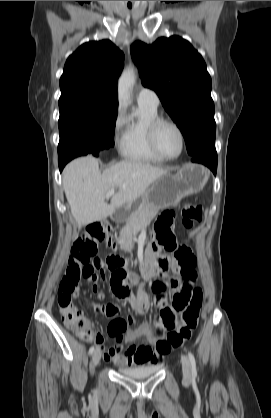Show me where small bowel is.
Instances as JSON below:
<instances>
[{
  "mask_svg": "<svg viewBox=\"0 0 271 418\" xmlns=\"http://www.w3.org/2000/svg\"><path fill=\"white\" fill-rule=\"evenodd\" d=\"M168 259V260H167ZM146 267L144 276L147 280L157 277H167L171 269L179 273L178 262L174 258H165L160 256L159 247L153 242L145 252ZM97 267L103 269V266L97 262ZM110 287L113 295L122 301L128 302L132 309L139 313L145 314L149 311L150 301L141 288L137 295H134L131 286L136 282L134 276L130 275V271L125 266H116L110 272ZM93 283V293L98 299H103L104 294L98 289V275L88 279ZM168 284L172 286L177 293L182 290V286H178V279L170 277ZM193 285V283L191 284ZM154 293V302L159 309V315L155 319L153 325L147 322L142 323L135 330L127 331V327L132 325L130 320L125 319V315L121 314L122 307L119 300H111L109 305L103 306L97 304L94 308L103 313L106 317L105 326L110 338L115 339V345L104 352L103 358L106 362H113L121 367H139L150 364L160 363L169 353L170 349H160L158 344L164 341V335L159 334L158 330L162 326V315L165 310L175 312L173 306L167 305L164 292L167 291V284L156 281L152 284ZM176 293V294H177ZM127 331V332H126ZM154 331L157 334H154ZM126 332V333H125ZM145 337L146 344L131 345L123 350L124 343H131L139 338ZM102 340L98 343L101 345Z\"/></svg>",
  "mask_w": 271,
  "mask_h": 418,
  "instance_id": "obj_1",
  "label": "small bowel"
}]
</instances>
